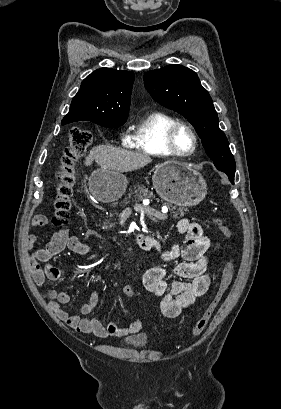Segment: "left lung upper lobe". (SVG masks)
Masks as SVG:
<instances>
[{"instance_id":"5c2ea615","label":"left lung upper lobe","mask_w":281,"mask_h":409,"mask_svg":"<svg viewBox=\"0 0 281 409\" xmlns=\"http://www.w3.org/2000/svg\"><path fill=\"white\" fill-rule=\"evenodd\" d=\"M144 83L155 101L180 113L194 126L218 170L235 173L234 157L218 126L212 99L194 71L181 65H168L145 73Z\"/></svg>"}]
</instances>
